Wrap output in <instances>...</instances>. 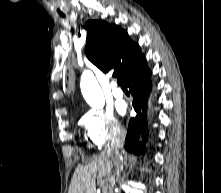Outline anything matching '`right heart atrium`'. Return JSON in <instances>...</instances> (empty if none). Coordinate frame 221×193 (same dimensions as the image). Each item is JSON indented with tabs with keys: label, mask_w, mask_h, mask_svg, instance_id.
Instances as JSON below:
<instances>
[{
	"label": "right heart atrium",
	"mask_w": 221,
	"mask_h": 193,
	"mask_svg": "<svg viewBox=\"0 0 221 193\" xmlns=\"http://www.w3.org/2000/svg\"><path fill=\"white\" fill-rule=\"evenodd\" d=\"M90 141L97 147H104L123 137L125 129L111 111L90 110L83 119Z\"/></svg>",
	"instance_id": "right-heart-atrium-1"
}]
</instances>
